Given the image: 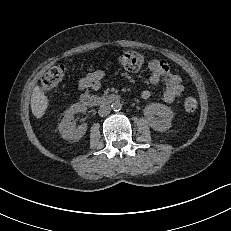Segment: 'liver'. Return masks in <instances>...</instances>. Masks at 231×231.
<instances>
[{
  "label": "liver",
  "mask_w": 231,
  "mask_h": 231,
  "mask_svg": "<svg viewBox=\"0 0 231 231\" xmlns=\"http://www.w3.org/2000/svg\"><path fill=\"white\" fill-rule=\"evenodd\" d=\"M31 109L36 118H41L49 105V100L40 86H36L31 96Z\"/></svg>",
  "instance_id": "1"
}]
</instances>
